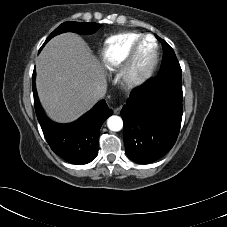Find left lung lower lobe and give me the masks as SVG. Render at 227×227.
Segmentation results:
<instances>
[{"label": "left lung lower lobe", "instance_id": "1", "mask_svg": "<svg viewBox=\"0 0 227 227\" xmlns=\"http://www.w3.org/2000/svg\"><path fill=\"white\" fill-rule=\"evenodd\" d=\"M182 82L171 76L150 78L135 88L121 110L128 157L148 164L175 144L182 120Z\"/></svg>", "mask_w": 227, "mask_h": 227}]
</instances>
